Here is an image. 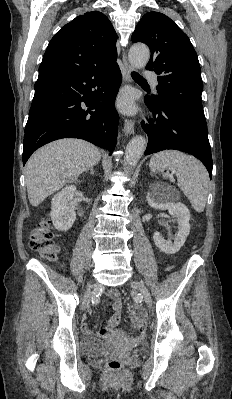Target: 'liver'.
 I'll return each mask as SVG.
<instances>
[{"instance_id": "obj_1", "label": "liver", "mask_w": 232, "mask_h": 399, "mask_svg": "<svg viewBox=\"0 0 232 399\" xmlns=\"http://www.w3.org/2000/svg\"><path fill=\"white\" fill-rule=\"evenodd\" d=\"M101 160L98 148L83 140H57L36 150L28 160L26 186L31 205L73 184L78 176Z\"/></svg>"}]
</instances>
